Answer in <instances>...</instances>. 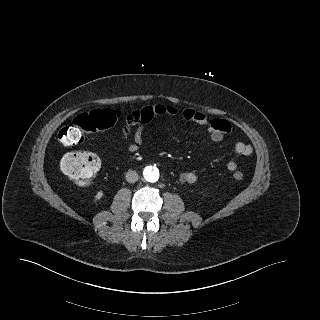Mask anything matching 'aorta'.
<instances>
[{
  "instance_id": "obj_1",
  "label": "aorta",
  "mask_w": 320,
  "mask_h": 320,
  "mask_svg": "<svg viewBox=\"0 0 320 320\" xmlns=\"http://www.w3.org/2000/svg\"><path fill=\"white\" fill-rule=\"evenodd\" d=\"M144 177L148 182H156L159 179V171L157 168H153L152 166H148L144 169Z\"/></svg>"
}]
</instances>
